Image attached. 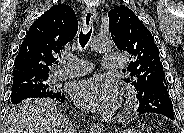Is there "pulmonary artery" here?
I'll list each match as a JSON object with an SVG mask.
<instances>
[{"mask_svg": "<svg viewBox=\"0 0 184 133\" xmlns=\"http://www.w3.org/2000/svg\"><path fill=\"white\" fill-rule=\"evenodd\" d=\"M70 63L65 67H59L55 73L54 78L63 80L70 77L84 75L92 71V64L85 60L68 56ZM124 62V56L120 54H108L103 56L102 68L104 70H117Z\"/></svg>", "mask_w": 184, "mask_h": 133, "instance_id": "obj_1", "label": "pulmonary artery"}]
</instances>
